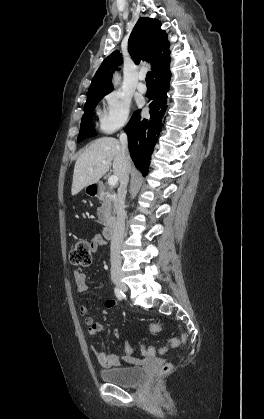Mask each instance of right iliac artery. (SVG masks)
Segmentation results:
<instances>
[{"label":"right iliac artery","mask_w":264,"mask_h":419,"mask_svg":"<svg viewBox=\"0 0 264 419\" xmlns=\"http://www.w3.org/2000/svg\"><path fill=\"white\" fill-rule=\"evenodd\" d=\"M114 292H115L116 297L119 300H122L123 299L124 294H123V292L118 287H115Z\"/></svg>","instance_id":"1"}]
</instances>
